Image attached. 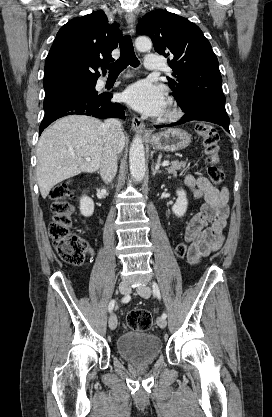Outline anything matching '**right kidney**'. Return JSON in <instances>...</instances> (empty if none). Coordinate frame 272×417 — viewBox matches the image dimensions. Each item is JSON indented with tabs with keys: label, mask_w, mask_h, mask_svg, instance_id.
I'll return each mask as SVG.
<instances>
[{
	"label": "right kidney",
	"mask_w": 272,
	"mask_h": 417,
	"mask_svg": "<svg viewBox=\"0 0 272 417\" xmlns=\"http://www.w3.org/2000/svg\"><path fill=\"white\" fill-rule=\"evenodd\" d=\"M80 212L85 217L92 216L94 212V202L88 196H82L80 198Z\"/></svg>",
	"instance_id": "1"
}]
</instances>
